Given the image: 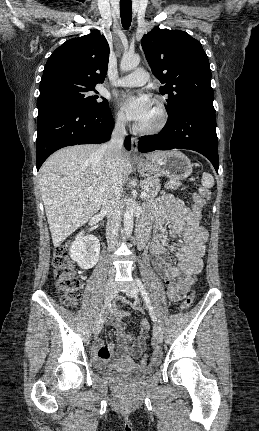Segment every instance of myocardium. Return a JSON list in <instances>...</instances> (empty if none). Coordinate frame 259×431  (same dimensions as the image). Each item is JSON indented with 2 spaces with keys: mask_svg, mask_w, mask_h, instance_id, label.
Masks as SVG:
<instances>
[{
  "mask_svg": "<svg viewBox=\"0 0 259 431\" xmlns=\"http://www.w3.org/2000/svg\"><path fill=\"white\" fill-rule=\"evenodd\" d=\"M154 107L157 112V121L150 127L136 126L135 130L142 135H154L160 133L168 123V111L162 98L154 99Z\"/></svg>",
  "mask_w": 259,
  "mask_h": 431,
  "instance_id": "myocardium-1",
  "label": "myocardium"
}]
</instances>
